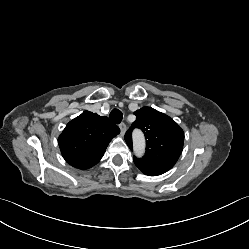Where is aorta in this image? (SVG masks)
<instances>
[{
    "label": "aorta",
    "instance_id": "1",
    "mask_svg": "<svg viewBox=\"0 0 249 249\" xmlns=\"http://www.w3.org/2000/svg\"><path fill=\"white\" fill-rule=\"evenodd\" d=\"M134 152L137 156L143 155L145 151V140L141 132H136L134 134Z\"/></svg>",
    "mask_w": 249,
    "mask_h": 249
}]
</instances>
